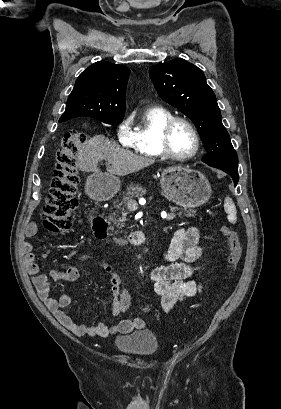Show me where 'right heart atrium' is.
<instances>
[{"instance_id":"1","label":"right heart atrium","mask_w":281,"mask_h":409,"mask_svg":"<svg viewBox=\"0 0 281 409\" xmlns=\"http://www.w3.org/2000/svg\"><path fill=\"white\" fill-rule=\"evenodd\" d=\"M131 122L132 119H124L116 127V136L118 141L127 147H129L132 138V131L130 128Z\"/></svg>"}]
</instances>
